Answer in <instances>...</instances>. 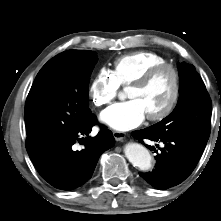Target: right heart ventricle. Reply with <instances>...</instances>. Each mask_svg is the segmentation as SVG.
<instances>
[{
  "mask_svg": "<svg viewBox=\"0 0 221 221\" xmlns=\"http://www.w3.org/2000/svg\"><path fill=\"white\" fill-rule=\"evenodd\" d=\"M164 56L151 51L122 55L112 63L110 73L119 86H128L153 66L166 63Z\"/></svg>",
  "mask_w": 221,
  "mask_h": 221,
  "instance_id": "right-heart-ventricle-1",
  "label": "right heart ventricle"
}]
</instances>
